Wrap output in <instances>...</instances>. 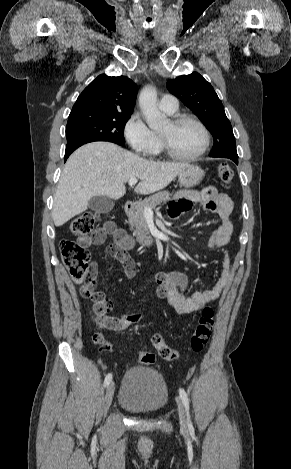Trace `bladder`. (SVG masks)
<instances>
[{"instance_id": "obj_1", "label": "bladder", "mask_w": 291, "mask_h": 469, "mask_svg": "<svg viewBox=\"0 0 291 469\" xmlns=\"http://www.w3.org/2000/svg\"><path fill=\"white\" fill-rule=\"evenodd\" d=\"M168 396L167 385L158 372L135 366L124 375L118 403L131 413L153 415L164 408Z\"/></svg>"}]
</instances>
